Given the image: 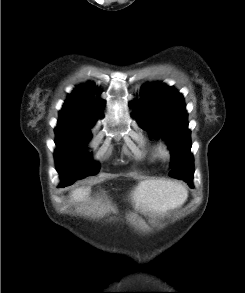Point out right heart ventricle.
I'll list each match as a JSON object with an SVG mask.
<instances>
[{"mask_svg": "<svg viewBox=\"0 0 245 293\" xmlns=\"http://www.w3.org/2000/svg\"><path fill=\"white\" fill-rule=\"evenodd\" d=\"M159 144H154L150 147V157L152 160L157 159L159 155Z\"/></svg>", "mask_w": 245, "mask_h": 293, "instance_id": "e07e8e85", "label": "right heart ventricle"}]
</instances>
